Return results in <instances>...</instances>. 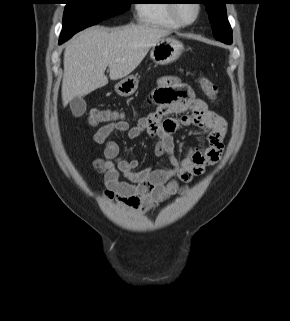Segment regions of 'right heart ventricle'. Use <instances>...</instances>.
Instances as JSON below:
<instances>
[{
	"mask_svg": "<svg viewBox=\"0 0 290 321\" xmlns=\"http://www.w3.org/2000/svg\"><path fill=\"white\" fill-rule=\"evenodd\" d=\"M171 0H145L137 5V19L140 23L167 28H180L170 12Z\"/></svg>",
	"mask_w": 290,
	"mask_h": 321,
	"instance_id": "1",
	"label": "right heart ventricle"
}]
</instances>
